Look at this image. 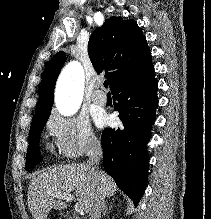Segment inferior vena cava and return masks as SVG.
<instances>
[{
  "instance_id": "inferior-vena-cava-1",
  "label": "inferior vena cava",
  "mask_w": 211,
  "mask_h": 219,
  "mask_svg": "<svg viewBox=\"0 0 211 219\" xmlns=\"http://www.w3.org/2000/svg\"><path fill=\"white\" fill-rule=\"evenodd\" d=\"M87 156L89 157V163L92 165V169L94 170L96 167H93V165H98L101 158L103 157L102 147L98 140H91L89 149L87 151ZM104 199L105 196L102 191L97 190L90 206L89 219H100L101 211L104 207Z\"/></svg>"
}]
</instances>
